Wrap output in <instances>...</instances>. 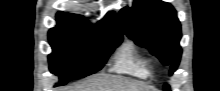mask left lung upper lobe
I'll return each instance as SVG.
<instances>
[{"mask_svg":"<svg viewBox=\"0 0 220 91\" xmlns=\"http://www.w3.org/2000/svg\"><path fill=\"white\" fill-rule=\"evenodd\" d=\"M128 37L147 47L164 65L171 64L170 74L178 67L181 57V27L173 6L161 0H136L132 8L120 11ZM165 91H170L168 85Z\"/></svg>","mask_w":220,"mask_h":91,"instance_id":"left-lung-upper-lobe-1","label":"left lung upper lobe"}]
</instances>
